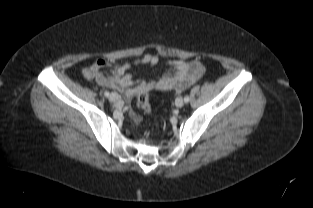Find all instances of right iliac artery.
I'll list each match as a JSON object with an SVG mask.
<instances>
[{
  "label": "right iliac artery",
  "mask_w": 313,
  "mask_h": 208,
  "mask_svg": "<svg viewBox=\"0 0 313 208\" xmlns=\"http://www.w3.org/2000/svg\"><path fill=\"white\" fill-rule=\"evenodd\" d=\"M104 95H105L106 97H109V96H110V93H109L108 91H105V92H104Z\"/></svg>",
  "instance_id": "right-iliac-artery-1"
}]
</instances>
